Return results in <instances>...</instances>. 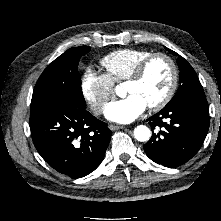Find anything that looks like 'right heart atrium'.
Instances as JSON below:
<instances>
[{
  "mask_svg": "<svg viewBox=\"0 0 221 221\" xmlns=\"http://www.w3.org/2000/svg\"><path fill=\"white\" fill-rule=\"evenodd\" d=\"M81 90L93 112L101 115L114 96V82L106 74H98L88 69L82 76Z\"/></svg>",
  "mask_w": 221,
  "mask_h": 221,
  "instance_id": "d8ad5b80",
  "label": "right heart atrium"
}]
</instances>
